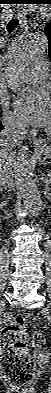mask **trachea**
<instances>
[{
  "instance_id": "obj_1",
  "label": "trachea",
  "mask_w": 51,
  "mask_h": 393,
  "mask_svg": "<svg viewBox=\"0 0 51 393\" xmlns=\"http://www.w3.org/2000/svg\"><path fill=\"white\" fill-rule=\"evenodd\" d=\"M19 24V20L18 19H12L9 21L8 25H7V30L8 32H12Z\"/></svg>"
}]
</instances>
